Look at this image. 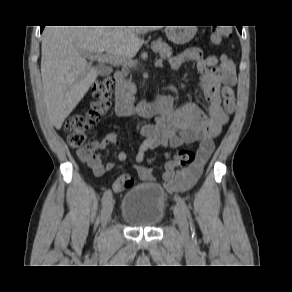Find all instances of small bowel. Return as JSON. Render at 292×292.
<instances>
[{"label": "small bowel", "mask_w": 292, "mask_h": 292, "mask_svg": "<svg viewBox=\"0 0 292 292\" xmlns=\"http://www.w3.org/2000/svg\"><path fill=\"white\" fill-rule=\"evenodd\" d=\"M194 62L200 74L198 90L202 103L186 102L176 106L175 99L168 97V105L153 126H143L141 134L147 140L140 146L136 155V162L141 163L147 151L157 148L176 149L194 142L199 143L197 158L194 163L185 167L173 161H168L162 174V184L170 193H179L190 190L200 178L204 166L215 148V140L221 135L228 117L221 106L220 89L222 86H234L237 81L234 62L226 55L220 57L210 55L205 57L198 47H191L174 56L171 67L180 69L185 63ZM119 147L115 133L107 134L102 140L95 142L98 150L108 146ZM119 162L127 160V154L119 151L116 155ZM88 165L95 176L100 177L114 168L113 162L103 163L100 152L93 154ZM138 178L143 182H155L157 177L151 168L134 166ZM121 177L113 184L115 192L121 191Z\"/></svg>", "instance_id": "c3829d8e"}]
</instances>
